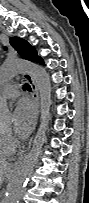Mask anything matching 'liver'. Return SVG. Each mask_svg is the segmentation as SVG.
Wrapping results in <instances>:
<instances>
[{
  "instance_id": "obj_1",
  "label": "liver",
  "mask_w": 89,
  "mask_h": 203,
  "mask_svg": "<svg viewBox=\"0 0 89 203\" xmlns=\"http://www.w3.org/2000/svg\"><path fill=\"white\" fill-rule=\"evenodd\" d=\"M11 167V165L7 162L2 161L0 163V179L1 182H3L4 177L8 174V170Z\"/></svg>"
}]
</instances>
